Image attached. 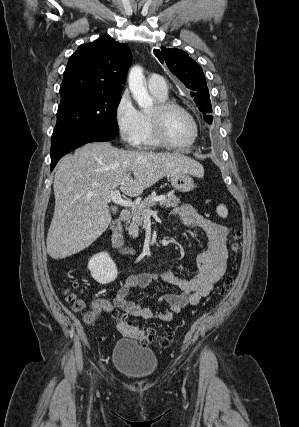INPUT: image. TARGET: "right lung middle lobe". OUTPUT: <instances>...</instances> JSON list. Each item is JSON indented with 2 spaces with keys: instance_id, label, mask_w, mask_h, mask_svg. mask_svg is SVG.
Here are the masks:
<instances>
[{
  "instance_id": "1",
  "label": "right lung middle lobe",
  "mask_w": 299,
  "mask_h": 427,
  "mask_svg": "<svg viewBox=\"0 0 299 427\" xmlns=\"http://www.w3.org/2000/svg\"><path fill=\"white\" fill-rule=\"evenodd\" d=\"M120 100V94L102 93H80L61 99L51 142L78 133L119 134L116 107Z\"/></svg>"
}]
</instances>
